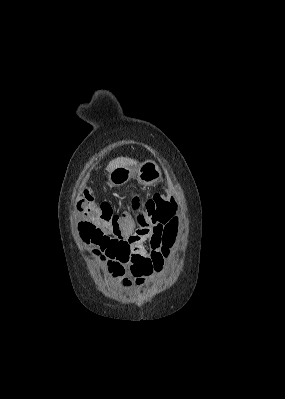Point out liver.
Wrapping results in <instances>:
<instances>
[{"instance_id": "liver-1", "label": "liver", "mask_w": 285, "mask_h": 399, "mask_svg": "<svg viewBox=\"0 0 285 399\" xmlns=\"http://www.w3.org/2000/svg\"><path fill=\"white\" fill-rule=\"evenodd\" d=\"M136 165H137V161L134 159L127 158V157H118L109 162V164L106 167V170L108 172H111L112 170H114L115 168H118V167H131V166H136Z\"/></svg>"}]
</instances>
